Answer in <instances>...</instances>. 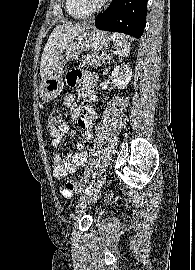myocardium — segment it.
<instances>
[{
  "label": "myocardium",
  "instance_id": "myocardium-1",
  "mask_svg": "<svg viewBox=\"0 0 195 270\" xmlns=\"http://www.w3.org/2000/svg\"><path fill=\"white\" fill-rule=\"evenodd\" d=\"M80 2L83 7H85L86 9L94 13L98 11L99 9H101L104 6V4L107 2V0H99V1L80 0Z\"/></svg>",
  "mask_w": 195,
  "mask_h": 270
}]
</instances>
